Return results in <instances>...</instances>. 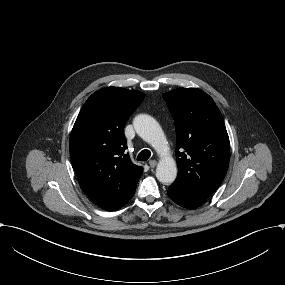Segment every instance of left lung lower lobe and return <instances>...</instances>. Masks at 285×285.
<instances>
[{
	"label": "left lung lower lobe",
	"instance_id": "0a47b994",
	"mask_svg": "<svg viewBox=\"0 0 285 285\" xmlns=\"http://www.w3.org/2000/svg\"><path fill=\"white\" fill-rule=\"evenodd\" d=\"M168 196L171 200H173L178 205L188 208V209H194L206 202V198L194 195L179 185L173 183L168 188Z\"/></svg>",
	"mask_w": 285,
	"mask_h": 285
}]
</instances>
